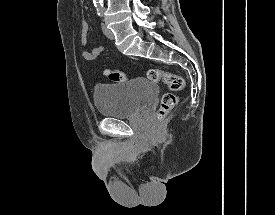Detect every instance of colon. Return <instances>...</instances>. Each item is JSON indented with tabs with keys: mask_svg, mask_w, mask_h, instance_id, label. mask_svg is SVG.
<instances>
[{
	"mask_svg": "<svg viewBox=\"0 0 275 215\" xmlns=\"http://www.w3.org/2000/svg\"><path fill=\"white\" fill-rule=\"evenodd\" d=\"M106 75L114 83H121L127 79L125 71L121 69H110L106 72ZM147 77L152 82L164 83L169 89V92L163 95L160 102V107L156 114V119L161 121L176 105L178 99L175 93L185 89V81L181 76L159 68L149 69L147 71Z\"/></svg>",
	"mask_w": 275,
	"mask_h": 215,
	"instance_id": "5ec220e1",
	"label": "colon"
}]
</instances>
